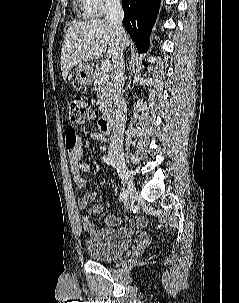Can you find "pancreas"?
Listing matches in <instances>:
<instances>
[{"label": "pancreas", "mask_w": 239, "mask_h": 303, "mask_svg": "<svg viewBox=\"0 0 239 303\" xmlns=\"http://www.w3.org/2000/svg\"><path fill=\"white\" fill-rule=\"evenodd\" d=\"M92 82L97 93L99 110L103 114H107L111 110L112 101V84L109 80V75L99 67H96L95 70H92Z\"/></svg>", "instance_id": "cf45deb5"}]
</instances>
